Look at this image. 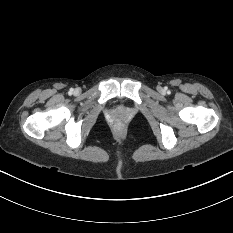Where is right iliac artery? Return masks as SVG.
Here are the masks:
<instances>
[{
	"label": "right iliac artery",
	"mask_w": 233,
	"mask_h": 233,
	"mask_svg": "<svg viewBox=\"0 0 233 233\" xmlns=\"http://www.w3.org/2000/svg\"><path fill=\"white\" fill-rule=\"evenodd\" d=\"M73 91H74V89H73V88H71V89L69 90V94H72V93H73Z\"/></svg>",
	"instance_id": "1"
}]
</instances>
